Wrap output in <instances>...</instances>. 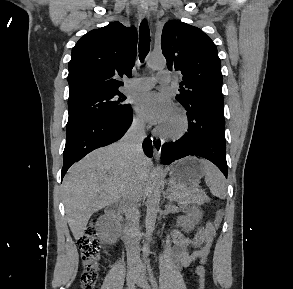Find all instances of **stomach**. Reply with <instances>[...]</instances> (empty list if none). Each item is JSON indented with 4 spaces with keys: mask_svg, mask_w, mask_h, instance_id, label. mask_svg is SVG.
Returning <instances> with one entry per match:
<instances>
[{
    "mask_svg": "<svg viewBox=\"0 0 293 289\" xmlns=\"http://www.w3.org/2000/svg\"><path fill=\"white\" fill-rule=\"evenodd\" d=\"M171 180L181 185H192L204 176V168L196 157L178 160L170 167Z\"/></svg>",
    "mask_w": 293,
    "mask_h": 289,
    "instance_id": "stomach-1",
    "label": "stomach"
}]
</instances>
